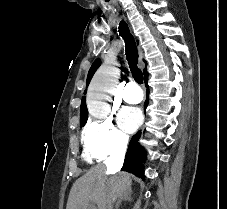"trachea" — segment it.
<instances>
[{"mask_svg": "<svg viewBox=\"0 0 227 209\" xmlns=\"http://www.w3.org/2000/svg\"><path fill=\"white\" fill-rule=\"evenodd\" d=\"M119 33L125 40L126 57L132 76L138 84L143 83V75L141 70L137 67L138 64V50L133 35H131L128 25L124 20L119 23Z\"/></svg>", "mask_w": 227, "mask_h": 209, "instance_id": "3493384b", "label": "trachea"}]
</instances>
